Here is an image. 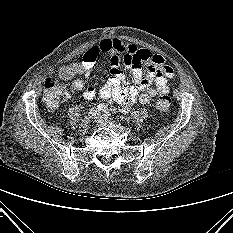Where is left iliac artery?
<instances>
[{"label": "left iliac artery", "instance_id": "left-iliac-artery-1", "mask_svg": "<svg viewBox=\"0 0 233 233\" xmlns=\"http://www.w3.org/2000/svg\"><path fill=\"white\" fill-rule=\"evenodd\" d=\"M104 118L107 119L111 116V113L109 111H106L104 114H103Z\"/></svg>", "mask_w": 233, "mask_h": 233}]
</instances>
